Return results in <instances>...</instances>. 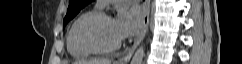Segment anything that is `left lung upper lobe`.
Instances as JSON below:
<instances>
[{
	"label": "left lung upper lobe",
	"instance_id": "5c2ea615",
	"mask_svg": "<svg viewBox=\"0 0 242 64\" xmlns=\"http://www.w3.org/2000/svg\"><path fill=\"white\" fill-rule=\"evenodd\" d=\"M93 0H69V7L67 10V14L64 18V24L65 25L72 20L82 8H84L86 5L91 3Z\"/></svg>",
	"mask_w": 242,
	"mask_h": 64
}]
</instances>
